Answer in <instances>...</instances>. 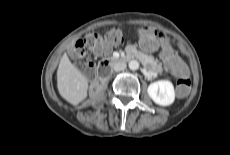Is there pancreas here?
<instances>
[{
  "mask_svg": "<svg viewBox=\"0 0 230 155\" xmlns=\"http://www.w3.org/2000/svg\"><path fill=\"white\" fill-rule=\"evenodd\" d=\"M134 56L137 58H141L142 54L140 52H135ZM144 64L151 69L154 72L161 73L162 72V66L152 57V56H146L143 58Z\"/></svg>",
  "mask_w": 230,
  "mask_h": 155,
  "instance_id": "1",
  "label": "pancreas"
}]
</instances>
